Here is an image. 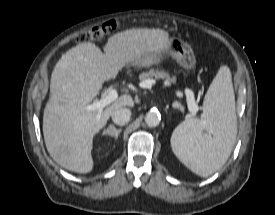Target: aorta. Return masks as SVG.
<instances>
[{
	"instance_id": "obj_1",
	"label": "aorta",
	"mask_w": 275,
	"mask_h": 215,
	"mask_svg": "<svg viewBox=\"0 0 275 215\" xmlns=\"http://www.w3.org/2000/svg\"><path fill=\"white\" fill-rule=\"evenodd\" d=\"M161 120V115L156 110H150L145 115V122L149 127H156L159 125Z\"/></svg>"
}]
</instances>
